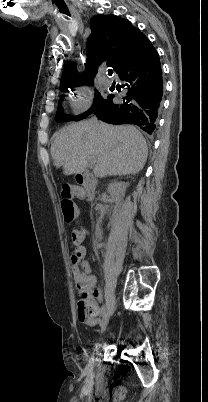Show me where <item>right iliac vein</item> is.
Listing matches in <instances>:
<instances>
[{
	"label": "right iliac vein",
	"mask_w": 208,
	"mask_h": 402,
	"mask_svg": "<svg viewBox=\"0 0 208 402\" xmlns=\"http://www.w3.org/2000/svg\"><path fill=\"white\" fill-rule=\"evenodd\" d=\"M108 322H109V313H106V316L104 317V319H103V321H102V323H101V334L106 330V327H107V325H108ZM97 349H98V346H96L95 351H97ZM94 354H95V353H93V355H92V357H91V359H90V361H89V363H88V366H87V370H88V371H91V370L93 369V365H94Z\"/></svg>",
	"instance_id": "1"
}]
</instances>
